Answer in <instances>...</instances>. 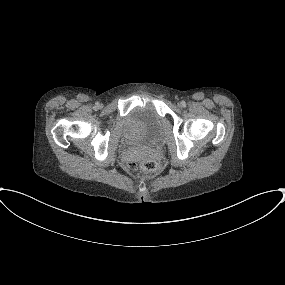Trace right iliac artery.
<instances>
[{
    "label": "right iliac artery",
    "mask_w": 285,
    "mask_h": 285,
    "mask_svg": "<svg viewBox=\"0 0 285 285\" xmlns=\"http://www.w3.org/2000/svg\"><path fill=\"white\" fill-rule=\"evenodd\" d=\"M95 105H96L95 107H97L98 103H96Z\"/></svg>",
    "instance_id": "1"
}]
</instances>
